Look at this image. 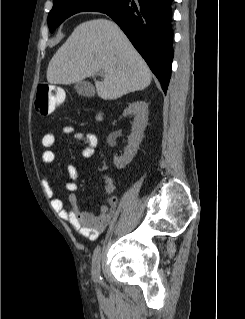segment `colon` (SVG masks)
I'll return each instance as SVG.
<instances>
[{
	"label": "colon",
	"mask_w": 245,
	"mask_h": 319,
	"mask_svg": "<svg viewBox=\"0 0 245 319\" xmlns=\"http://www.w3.org/2000/svg\"><path fill=\"white\" fill-rule=\"evenodd\" d=\"M64 99L63 91L56 85L41 84L37 87L35 98V110L41 116L51 114ZM109 203H114V198L108 199Z\"/></svg>",
	"instance_id": "colon-1"
}]
</instances>
